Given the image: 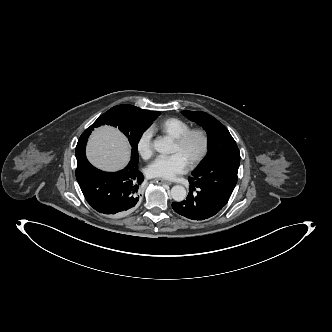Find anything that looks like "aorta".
<instances>
[{
    "instance_id": "obj_1",
    "label": "aorta",
    "mask_w": 332,
    "mask_h": 332,
    "mask_svg": "<svg viewBox=\"0 0 332 332\" xmlns=\"http://www.w3.org/2000/svg\"><path fill=\"white\" fill-rule=\"evenodd\" d=\"M154 149L159 153H167L170 143L165 139H157L154 141ZM187 196L186 189L181 185H175L171 189V197L176 202L183 201Z\"/></svg>"
}]
</instances>
